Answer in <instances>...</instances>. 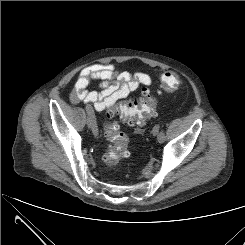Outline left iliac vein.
Here are the masks:
<instances>
[{
  "label": "left iliac vein",
  "mask_w": 245,
  "mask_h": 245,
  "mask_svg": "<svg viewBox=\"0 0 245 245\" xmlns=\"http://www.w3.org/2000/svg\"><path fill=\"white\" fill-rule=\"evenodd\" d=\"M159 127H160L159 125H156V126L153 128V131H152V133H153L154 136L158 135V141H159V138H160ZM159 142H163V141H159Z\"/></svg>",
  "instance_id": "1"
}]
</instances>
